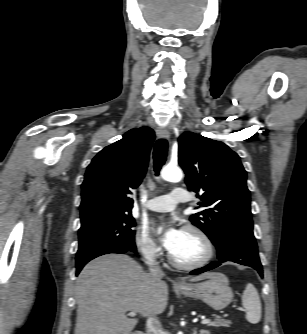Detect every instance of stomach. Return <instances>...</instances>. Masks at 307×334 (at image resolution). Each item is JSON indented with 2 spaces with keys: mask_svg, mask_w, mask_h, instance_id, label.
Wrapping results in <instances>:
<instances>
[{
  "mask_svg": "<svg viewBox=\"0 0 307 334\" xmlns=\"http://www.w3.org/2000/svg\"><path fill=\"white\" fill-rule=\"evenodd\" d=\"M178 291L186 297L202 300L215 310L227 307L234 296L227 277L222 273H212L205 281L188 284Z\"/></svg>",
  "mask_w": 307,
  "mask_h": 334,
  "instance_id": "obj_1",
  "label": "stomach"
}]
</instances>
